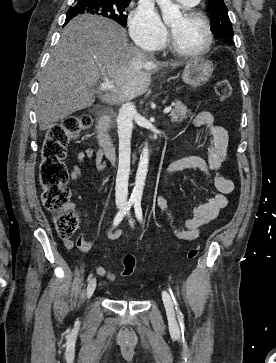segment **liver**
<instances>
[{"label": "liver", "mask_w": 276, "mask_h": 363, "mask_svg": "<svg viewBox=\"0 0 276 363\" xmlns=\"http://www.w3.org/2000/svg\"><path fill=\"white\" fill-rule=\"evenodd\" d=\"M181 62L155 63L128 44L126 30L114 21L78 15L63 29L39 78L37 118L42 131L95 102V87L107 77L116 92L100 96L106 103L143 95L151 71Z\"/></svg>", "instance_id": "6515ba94"}]
</instances>
